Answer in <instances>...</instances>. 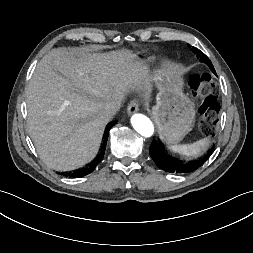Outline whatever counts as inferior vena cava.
Here are the masks:
<instances>
[{"label": "inferior vena cava", "instance_id": "inferior-vena-cava-1", "mask_svg": "<svg viewBox=\"0 0 253 253\" xmlns=\"http://www.w3.org/2000/svg\"><path fill=\"white\" fill-rule=\"evenodd\" d=\"M121 101L110 102L105 105L104 114L108 119H111L120 109Z\"/></svg>", "mask_w": 253, "mask_h": 253}]
</instances>
